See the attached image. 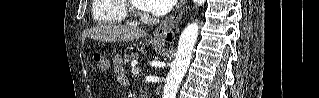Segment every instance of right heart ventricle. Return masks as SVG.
<instances>
[{
  "instance_id": "right-heart-ventricle-1",
  "label": "right heart ventricle",
  "mask_w": 319,
  "mask_h": 98,
  "mask_svg": "<svg viewBox=\"0 0 319 98\" xmlns=\"http://www.w3.org/2000/svg\"><path fill=\"white\" fill-rule=\"evenodd\" d=\"M92 16L98 24L122 23L128 17L125 0H95Z\"/></svg>"
}]
</instances>
